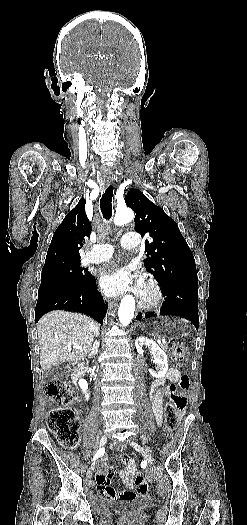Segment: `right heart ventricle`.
Returning <instances> with one entry per match:
<instances>
[{
  "instance_id": "right-heart-ventricle-1",
  "label": "right heart ventricle",
  "mask_w": 247,
  "mask_h": 525,
  "mask_svg": "<svg viewBox=\"0 0 247 525\" xmlns=\"http://www.w3.org/2000/svg\"><path fill=\"white\" fill-rule=\"evenodd\" d=\"M141 292H143V288H141Z\"/></svg>"
}]
</instances>
